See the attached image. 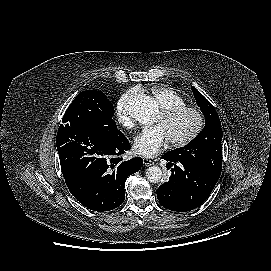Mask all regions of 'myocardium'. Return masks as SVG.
I'll return each instance as SVG.
<instances>
[{"label":"myocardium","instance_id":"f54148a6","mask_svg":"<svg viewBox=\"0 0 271 271\" xmlns=\"http://www.w3.org/2000/svg\"><path fill=\"white\" fill-rule=\"evenodd\" d=\"M183 114H191L195 119V125L193 129L184 135L183 137L177 139H170L171 144L174 147H184L196 139L202 132L205 125V118L200 109L194 106H178L161 110L160 116L164 121L173 120Z\"/></svg>","mask_w":271,"mask_h":271}]
</instances>
